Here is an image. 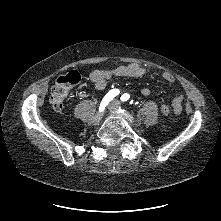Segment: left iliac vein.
<instances>
[{"instance_id": "obj_1", "label": "left iliac vein", "mask_w": 221, "mask_h": 221, "mask_svg": "<svg viewBox=\"0 0 221 221\" xmlns=\"http://www.w3.org/2000/svg\"><path fill=\"white\" fill-rule=\"evenodd\" d=\"M120 105V102L118 100H114L110 105H109V109H115Z\"/></svg>"}]
</instances>
